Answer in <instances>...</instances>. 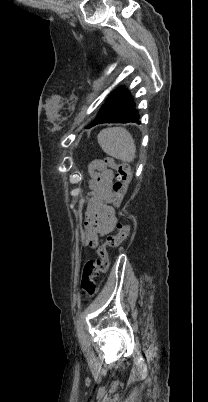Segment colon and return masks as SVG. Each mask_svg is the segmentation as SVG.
<instances>
[{
	"mask_svg": "<svg viewBox=\"0 0 208 402\" xmlns=\"http://www.w3.org/2000/svg\"><path fill=\"white\" fill-rule=\"evenodd\" d=\"M108 167L115 172L116 182L113 184L114 205L120 207L126 197L127 189L131 181V169L127 162H117L114 158L105 159ZM132 231L130 223L121 224L117 233L107 238L106 242L99 246L98 259L88 260L82 268L81 285L89 296L97 291L96 278L100 274H106L109 269V256L107 249L117 247L123 241L127 240Z\"/></svg>",
	"mask_w": 208,
	"mask_h": 402,
	"instance_id": "colon-1",
	"label": "colon"
}]
</instances>
